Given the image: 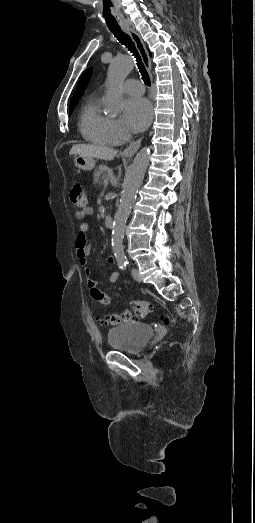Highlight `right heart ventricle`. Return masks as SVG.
Masks as SVG:
<instances>
[{
	"label": "right heart ventricle",
	"mask_w": 255,
	"mask_h": 523,
	"mask_svg": "<svg viewBox=\"0 0 255 523\" xmlns=\"http://www.w3.org/2000/svg\"><path fill=\"white\" fill-rule=\"evenodd\" d=\"M80 130L83 138L98 146H111L119 142L114 119L102 110L100 99L89 100L83 109Z\"/></svg>",
	"instance_id": "right-heart-ventricle-1"
}]
</instances>
